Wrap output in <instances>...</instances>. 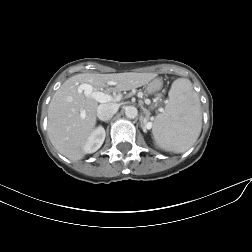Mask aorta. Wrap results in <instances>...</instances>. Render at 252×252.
I'll return each instance as SVG.
<instances>
[{"label": "aorta", "instance_id": "obj_1", "mask_svg": "<svg viewBox=\"0 0 252 252\" xmlns=\"http://www.w3.org/2000/svg\"><path fill=\"white\" fill-rule=\"evenodd\" d=\"M125 115L130 119H134L138 115V110L134 106H127L125 108Z\"/></svg>", "mask_w": 252, "mask_h": 252}]
</instances>
